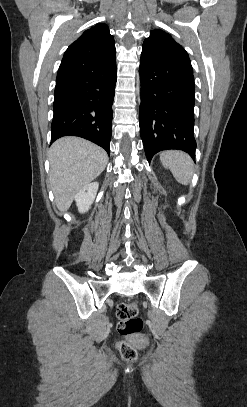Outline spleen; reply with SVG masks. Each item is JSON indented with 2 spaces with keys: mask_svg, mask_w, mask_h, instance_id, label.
Listing matches in <instances>:
<instances>
[{
  "mask_svg": "<svg viewBox=\"0 0 247 407\" xmlns=\"http://www.w3.org/2000/svg\"><path fill=\"white\" fill-rule=\"evenodd\" d=\"M160 161L171 171L177 182L182 185H188L191 182L194 163L187 153L177 150L163 151L160 154Z\"/></svg>",
  "mask_w": 247,
  "mask_h": 407,
  "instance_id": "spleen-1",
  "label": "spleen"
}]
</instances>
